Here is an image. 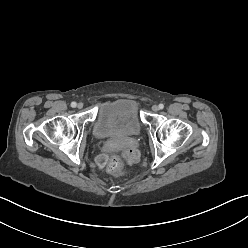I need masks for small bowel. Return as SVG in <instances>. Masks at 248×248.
Wrapping results in <instances>:
<instances>
[{"instance_id": "small-bowel-1", "label": "small bowel", "mask_w": 248, "mask_h": 248, "mask_svg": "<svg viewBox=\"0 0 248 248\" xmlns=\"http://www.w3.org/2000/svg\"><path fill=\"white\" fill-rule=\"evenodd\" d=\"M126 154L130 159L136 158L138 156V149L135 144H132L127 150Z\"/></svg>"}]
</instances>
